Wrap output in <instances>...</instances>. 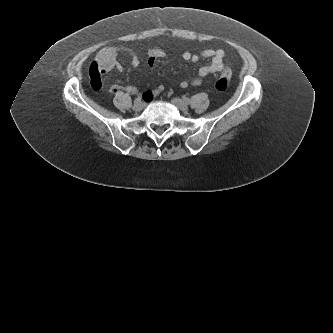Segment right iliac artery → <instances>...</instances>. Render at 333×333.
Listing matches in <instances>:
<instances>
[{
  "instance_id": "1",
  "label": "right iliac artery",
  "mask_w": 333,
  "mask_h": 333,
  "mask_svg": "<svg viewBox=\"0 0 333 333\" xmlns=\"http://www.w3.org/2000/svg\"><path fill=\"white\" fill-rule=\"evenodd\" d=\"M138 101H141V97H140V96H138V97L136 98V100H135V102H138Z\"/></svg>"
}]
</instances>
